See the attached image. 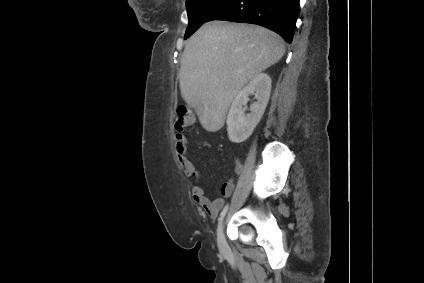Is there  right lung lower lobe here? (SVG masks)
Here are the masks:
<instances>
[{"mask_svg": "<svg viewBox=\"0 0 424 283\" xmlns=\"http://www.w3.org/2000/svg\"><path fill=\"white\" fill-rule=\"evenodd\" d=\"M299 0H229L208 21L252 23L277 32L292 42Z\"/></svg>", "mask_w": 424, "mask_h": 283, "instance_id": "1", "label": "right lung lower lobe"}]
</instances>
